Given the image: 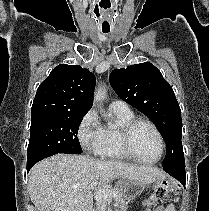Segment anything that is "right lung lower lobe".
I'll return each mask as SVG.
<instances>
[{
    "mask_svg": "<svg viewBox=\"0 0 209 211\" xmlns=\"http://www.w3.org/2000/svg\"><path fill=\"white\" fill-rule=\"evenodd\" d=\"M32 166L33 165H27V171H29Z\"/></svg>",
    "mask_w": 209,
    "mask_h": 211,
    "instance_id": "1",
    "label": "right lung lower lobe"
}]
</instances>
